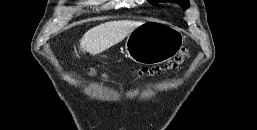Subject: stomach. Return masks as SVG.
I'll return each instance as SVG.
<instances>
[{
    "label": "stomach",
    "mask_w": 257,
    "mask_h": 130,
    "mask_svg": "<svg viewBox=\"0 0 257 130\" xmlns=\"http://www.w3.org/2000/svg\"><path fill=\"white\" fill-rule=\"evenodd\" d=\"M183 41L184 36L177 27L159 20H148L128 35L125 48L133 61L155 65L177 55Z\"/></svg>",
    "instance_id": "1"
}]
</instances>
